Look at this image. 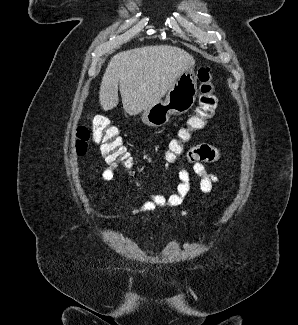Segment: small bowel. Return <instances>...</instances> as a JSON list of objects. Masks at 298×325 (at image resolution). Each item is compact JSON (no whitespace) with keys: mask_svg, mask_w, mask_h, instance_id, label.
I'll use <instances>...</instances> for the list:
<instances>
[{"mask_svg":"<svg viewBox=\"0 0 298 325\" xmlns=\"http://www.w3.org/2000/svg\"><path fill=\"white\" fill-rule=\"evenodd\" d=\"M218 159V150L214 146L205 143L197 144L186 152V161L192 165L193 172L200 178L199 187L205 195L214 190L217 182V177L206 169L205 164L216 162ZM105 160L108 166L104 169H96V172H99L104 180L109 181L113 179L118 164L110 162L107 158ZM179 166L177 191L168 196L152 194L150 200L146 201L141 207L132 209L131 215L152 212L159 207H178L183 203L191 188L190 173L182 164H179ZM182 214L185 215L187 212L183 211Z\"/></svg>","mask_w":298,"mask_h":325,"instance_id":"obj_1","label":"small bowel"}]
</instances>
